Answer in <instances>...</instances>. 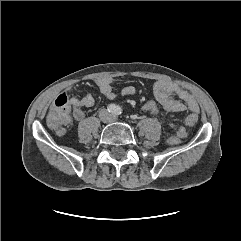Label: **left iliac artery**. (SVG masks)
I'll use <instances>...</instances> for the list:
<instances>
[{"mask_svg":"<svg viewBox=\"0 0 241 241\" xmlns=\"http://www.w3.org/2000/svg\"><path fill=\"white\" fill-rule=\"evenodd\" d=\"M122 113V108L120 106H116L115 108V114L120 115Z\"/></svg>","mask_w":241,"mask_h":241,"instance_id":"left-iliac-artery-1","label":"left iliac artery"}]
</instances>
